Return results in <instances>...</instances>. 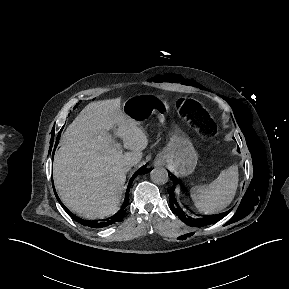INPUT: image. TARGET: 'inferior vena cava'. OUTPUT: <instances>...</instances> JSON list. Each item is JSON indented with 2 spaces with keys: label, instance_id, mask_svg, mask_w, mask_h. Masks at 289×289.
<instances>
[{
  "label": "inferior vena cava",
  "instance_id": "inferior-vena-cava-1",
  "mask_svg": "<svg viewBox=\"0 0 289 289\" xmlns=\"http://www.w3.org/2000/svg\"><path fill=\"white\" fill-rule=\"evenodd\" d=\"M135 163L134 162H128L126 165H125V170H129Z\"/></svg>",
  "mask_w": 289,
  "mask_h": 289
}]
</instances>
